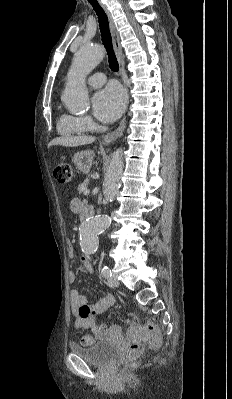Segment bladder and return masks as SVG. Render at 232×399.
Returning <instances> with one entry per match:
<instances>
[{
  "label": "bladder",
  "instance_id": "31cf9c89",
  "mask_svg": "<svg viewBox=\"0 0 232 399\" xmlns=\"http://www.w3.org/2000/svg\"><path fill=\"white\" fill-rule=\"evenodd\" d=\"M70 350L72 353L83 357L88 362L98 365L110 362L121 353V349L118 345L106 340L97 341L90 346L72 343L70 344Z\"/></svg>",
  "mask_w": 232,
  "mask_h": 399
}]
</instances>
